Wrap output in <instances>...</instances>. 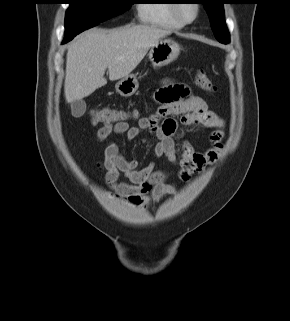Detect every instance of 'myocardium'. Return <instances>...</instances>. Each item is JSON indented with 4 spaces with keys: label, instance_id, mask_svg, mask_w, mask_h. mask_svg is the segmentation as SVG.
Returning <instances> with one entry per match:
<instances>
[{
    "label": "myocardium",
    "instance_id": "f54148a6",
    "mask_svg": "<svg viewBox=\"0 0 290 321\" xmlns=\"http://www.w3.org/2000/svg\"><path fill=\"white\" fill-rule=\"evenodd\" d=\"M175 1V0H174ZM185 4V3H181L179 1H176V3H172V9H173V14L175 16V18L180 22L182 23L183 25H189V24H192L193 22H195L197 20V18L199 17V14H200V10H201V7L198 3L194 2V3H191L193 6H194V9H195V14H194V17L191 18V19H187L183 16L182 12H181V7L182 5Z\"/></svg>",
    "mask_w": 290,
    "mask_h": 321
}]
</instances>
